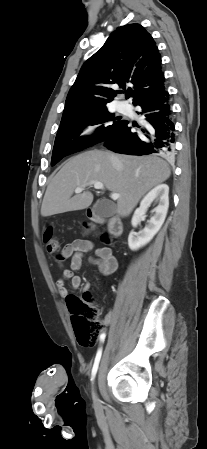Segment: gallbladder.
Segmentation results:
<instances>
[{"mask_svg": "<svg viewBox=\"0 0 207 449\" xmlns=\"http://www.w3.org/2000/svg\"><path fill=\"white\" fill-rule=\"evenodd\" d=\"M93 210L100 216L111 217L115 213L116 208L108 201L99 200L94 204Z\"/></svg>", "mask_w": 207, "mask_h": 449, "instance_id": "1", "label": "gallbladder"}]
</instances>
